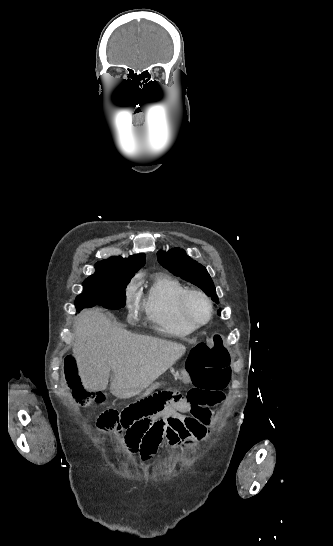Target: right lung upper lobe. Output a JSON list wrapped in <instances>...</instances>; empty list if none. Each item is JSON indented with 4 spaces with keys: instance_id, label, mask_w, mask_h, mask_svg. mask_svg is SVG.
Segmentation results:
<instances>
[{
    "instance_id": "cb5924a9",
    "label": "right lung upper lobe",
    "mask_w": 333,
    "mask_h": 546,
    "mask_svg": "<svg viewBox=\"0 0 333 546\" xmlns=\"http://www.w3.org/2000/svg\"><path fill=\"white\" fill-rule=\"evenodd\" d=\"M146 256L144 253L135 254L128 258L112 256L106 260L96 263V270L113 269L127 272H137L145 264Z\"/></svg>"
}]
</instances>
